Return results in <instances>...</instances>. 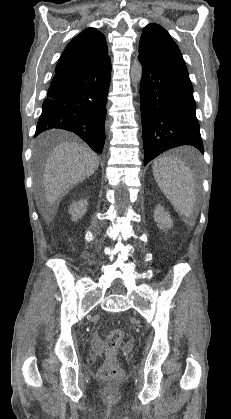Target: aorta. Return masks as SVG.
<instances>
[{"label":"aorta","mask_w":231,"mask_h":419,"mask_svg":"<svg viewBox=\"0 0 231 419\" xmlns=\"http://www.w3.org/2000/svg\"><path fill=\"white\" fill-rule=\"evenodd\" d=\"M143 67L139 61H134L131 67V80L134 85H138L142 79Z\"/></svg>","instance_id":"obj_1"}]
</instances>
